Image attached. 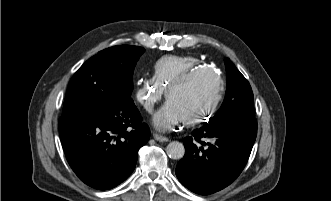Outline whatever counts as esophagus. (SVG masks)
Returning <instances> with one entry per match:
<instances>
[{"mask_svg":"<svg viewBox=\"0 0 331 201\" xmlns=\"http://www.w3.org/2000/svg\"><path fill=\"white\" fill-rule=\"evenodd\" d=\"M153 137L155 140L159 141V142H167L168 141V138L165 137V136H162L160 134H157V133H154L153 134Z\"/></svg>","mask_w":331,"mask_h":201,"instance_id":"obj_1","label":"esophagus"}]
</instances>
